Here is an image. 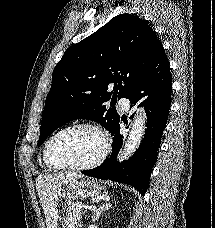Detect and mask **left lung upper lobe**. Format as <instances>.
Listing matches in <instances>:
<instances>
[{"label":"left lung upper lobe","instance_id":"1","mask_svg":"<svg viewBox=\"0 0 215 228\" xmlns=\"http://www.w3.org/2000/svg\"><path fill=\"white\" fill-rule=\"evenodd\" d=\"M162 48L148 22L133 14L114 17L68 48L53 71L37 145L75 119L99 122L112 134L120 116L105 103L115 101L117 94L127 98ZM109 84H114V93Z\"/></svg>","mask_w":215,"mask_h":228}]
</instances>
